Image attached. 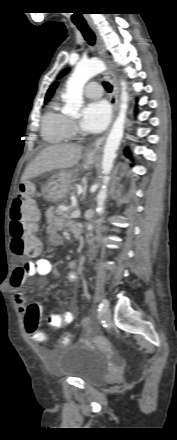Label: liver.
<instances>
[{
    "mask_svg": "<svg viewBox=\"0 0 177 440\" xmlns=\"http://www.w3.org/2000/svg\"><path fill=\"white\" fill-rule=\"evenodd\" d=\"M82 146L76 144L53 145L43 149L27 166L21 181L56 169L74 167L81 159Z\"/></svg>",
    "mask_w": 177,
    "mask_h": 440,
    "instance_id": "1",
    "label": "liver"
}]
</instances>
